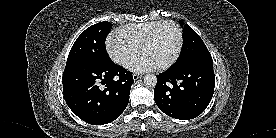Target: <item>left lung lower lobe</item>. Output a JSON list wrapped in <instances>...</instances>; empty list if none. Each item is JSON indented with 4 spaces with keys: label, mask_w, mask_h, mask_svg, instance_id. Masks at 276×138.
Listing matches in <instances>:
<instances>
[{
    "label": "left lung lower lobe",
    "mask_w": 276,
    "mask_h": 138,
    "mask_svg": "<svg viewBox=\"0 0 276 138\" xmlns=\"http://www.w3.org/2000/svg\"><path fill=\"white\" fill-rule=\"evenodd\" d=\"M215 86L213 60L205 59L181 68L171 67L157 76L154 100L168 116L189 120L209 105Z\"/></svg>",
    "instance_id": "obj_1"
}]
</instances>
